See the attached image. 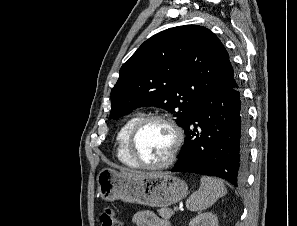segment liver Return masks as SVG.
<instances>
[{
    "label": "liver",
    "mask_w": 297,
    "mask_h": 226,
    "mask_svg": "<svg viewBox=\"0 0 297 226\" xmlns=\"http://www.w3.org/2000/svg\"><path fill=\"white\" fill-rule=\"evenodd\" d=\"M120 173L126 177H129V178H142V177H146L149 175H153V174H145V173H139V172L130 173V172H125V171H122Z\"/></svg>",
    "instance_id": "liver-1"
}]
</instances>
